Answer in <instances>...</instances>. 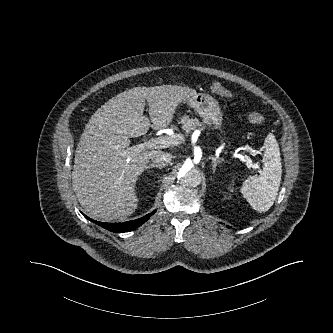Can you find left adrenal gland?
<instances>
[{
  "label": "left adrenal gland",
  "instance_id": "a2214340",
  "mask_svg": "<svg viewBox=\"0 0 333 333\" xmlns=\"http://www.w3.org/2000/svg\"><path fill=\"white\" fill-rule=\"evenodd\" d=\"M209 159L212 161V170L215 172L216 167L218 166V160L213 156H210Z\"/></svg>",
  "mask_w": 333,
  "mask_h": 333
}]
</instances>
